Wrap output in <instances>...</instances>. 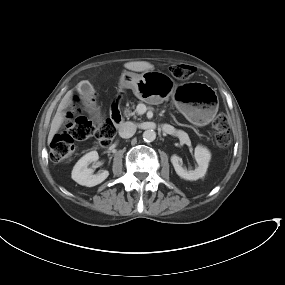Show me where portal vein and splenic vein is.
Listing matches in <instances>:
<instances>
[{
  "label": "portal vein and splenic vein",
  "instance_id": "portal-vein-and-splenic-vein-1",
  "mask_svg": "<svg viewBox=\"0 0 285 285\" xmlns=\"http://www.w3.org/2000/svg\"><path fill=\"white\" fill-rule=\"evenodd\" d=\"M147 111V107H146V105H144V104H139L138 106H137V112L139 113V114H144L145 112Z\"/></svg>",
  "mask_w": 285,
  "mask_h": 285
}]
</instances>
